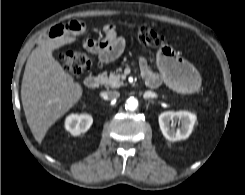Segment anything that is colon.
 <instances>
[{"label":"colon","instance_id":"colon-1","mask_svg":"<svg viewBox=\"0 0 245 195\" xmlns=\"http://www.w3.org/2000/svg\"><path fill=\"white\" fill-rule=\"evenodd\" d=\"M136 38L146 47H157L162 44L163 36L148 26L138 28ZM64 70L71 74H82L91 66L92 56L81 51H67L60 57Z\"/></svg>","mask_w":245,"mask_h":195}]
</instances>
